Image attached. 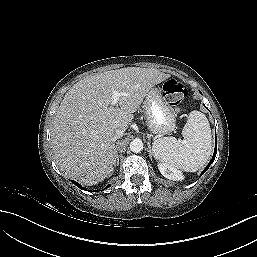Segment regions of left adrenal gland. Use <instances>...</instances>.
<instances>
[{
	"instance_id": "a2214340",
	"label": "left adrenal gland",
	"mask_w": 257,
	"mask_h": 257,
	"mask_svg": "<svg viewBox=\"0 0 257 257\" xmlns=\"http://www.w3.org/2000/svg\"><path fill=\"white\" fill-rule=\"evenodd\" d=\"M148 148H149V155H150V157H152L153 152H152L150 143H148Z\"/></svg>"
}]
</instances>
